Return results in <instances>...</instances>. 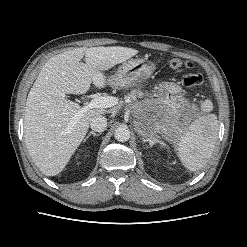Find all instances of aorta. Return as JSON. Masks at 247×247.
<instances>
[{
	"mask_svg": "<svg viewBox=\"0 0 247 247\" xmlns=\"http://www.w3.org/2000/svg\"><path fill=\"white\" fill-rule=\"evenodd\" d=\"M114 137L119 142L128 141L130 138L129 128L127 126H123V125L119 126L115 130Z\"/></svg>",
	"mask_w": 247,
	"mask_h": 247,
	"instance_id": "762f6f07",
	"label": "aorta"
}]
</instances>
